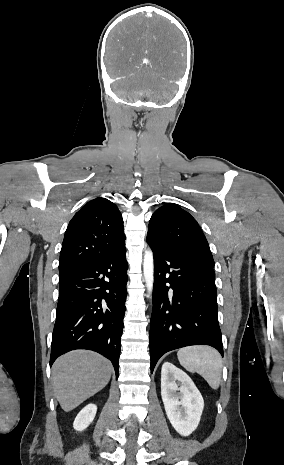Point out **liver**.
I'll use <instances>...</instances> for the list:
<instances>
[{"mask_svg":"<svg viewBox=\"0 0 284 465\" xmlns=\"http://www.w3.org/2000/svg\"><path fill=\"white\" fill-rule=\"evenodd\" d=\"M54 393L63 411H72L110 381V361L92 351H72L53 365Z\"/></svg>","mask_w":284,"mask_h":465,"instance_id":"liver-1","label":"liver"}]
</instances>
